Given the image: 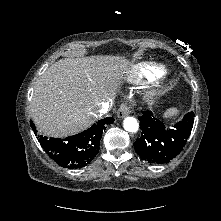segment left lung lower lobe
<instances>
[{
  "mask_svg": "<svg viewBox=\"0 0 221 221\" xmlns=\"http://www.w3.org/2000/svg\"><path fill=\"white\" fill-rule=\"evenodd\" d=\"M194 113L186 114L173 127H167L151 111L139 117L141 137L133 145L141 159L153 164L168 163L183 149L190 136Z\"/></svg>",
  "mask_w": 221,
  "mask_h": 221,
  "instance_id": "obj_1",
  "label": "left lung lower lobe"
}]
</instances>
